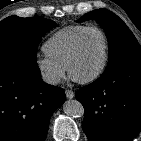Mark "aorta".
<instances>
[{
  "label": "aorta",
  "mask_w": 141,
  "mask_h": 141,
  "mask_svg": "<svg viewBox=\"0 0 141 141\" xmlns=\"http://www.w3.org/2000/svg\"><path fill=\"white\" fill-rule=\"evenodd\" d=\"M65 114L73 118L84 116V107L78 100H67L63 104Z\"/></svg>",
  "instance_id": "aorta-1"
}]
</instances>
